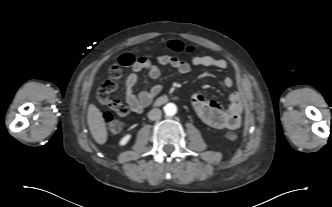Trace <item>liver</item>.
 Here are the masks:
<instances>
[{
	"mask_svg": "<svg viewBox=\"0 0 332 207\" xmlns=\"http://www.w3.org/2000/svg\"><path fill=\"white\" fill-rule=\"evenodd\" d=\"M87 122L94 140L98 144H104L107 141V129L101 111L90 104L87 111Z\"/></svg>",
	"mask_w": 332,
	"mask_h": 207,
	"instance_id": "1",
	"label": "liver"
}]
</instances>
